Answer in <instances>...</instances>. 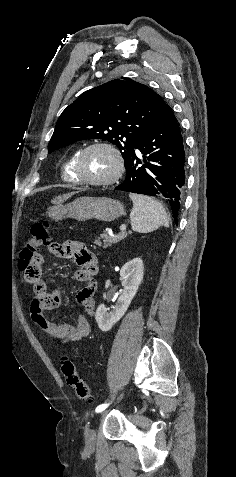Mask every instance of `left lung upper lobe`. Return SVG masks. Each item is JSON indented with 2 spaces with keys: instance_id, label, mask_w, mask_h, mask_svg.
Returning <instances> with one entry per match:
<instances>
[{
  "instance_id": "left-lung-upper-lobe-1",
  "label": "left lung upper lobe",
  "mask_w": 236,
  "mask_h": 477,
  "mask_svg": "<svg viewBox=\"0 0 236 477\" xmlns=\"http://www.w3.org/2000/svg\"><path fill=\"white\" fill-rule=\"evenodd\" d=\"M162 98L129 78L115 79L80 95L60 115L49 153L83 139L117 146L127 166L159 116Z\"/></svg>"
}]
</instances>
